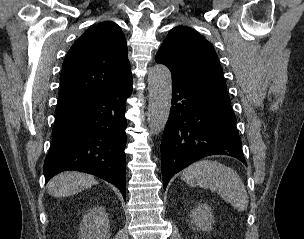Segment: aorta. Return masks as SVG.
<instances>
[{"instance_id":"1","label":"aorta","mask_w":304,"mask_h":239,"mask_svg":"<svg viewBox=\"0 0 304 239\" xmlns=\"http://www.w3.org/2000/svg\"><path fill=\"white\" fill-rule=\"evenodd\" d=\"M148 124L152 134L160 133L168 120L172 99V77L170 70L157 64L148 72Z\"/></svg>"}]
</instances>
